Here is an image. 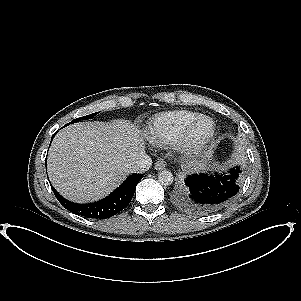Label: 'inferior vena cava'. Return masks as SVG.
<instances>
[{"label": "inferior vena cava", "mask_w": 301, "mask_h": 301, "mask_svg": "<svg viewBox=\"0 0 301 301\" xmlns=\"http://www.w3.org/2000/svg\"><path fill=\"white\" fill-rule=\"evenodd\" d=\"M152 165V159L149 155L143 154L138 160H136L130 167L131 173H145Z\"/></svg>", "instance_id": "inferior-vena-cava-1"}]
</instances>
